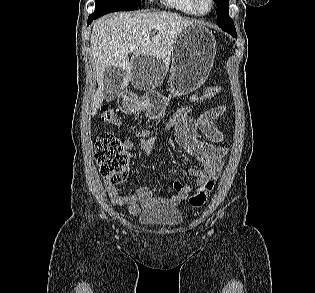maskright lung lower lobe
<instances>
[{"label": "right lung lower lobe", "mask_w": 315, "mask_h": 293, "mask_svg": "<svg viewBox=\"0 0 315 293\" xmlns=\"http://www.w3.org/2000/svg\"><path fill=\"white\" fill-rule=\"evenodd\" d=\"M115 11H120V9L115 8L113 6L110 5H106V6H96L95 7V11L94 13L90 14V16L88 17V24L89 25L93 20L109 13V12H115Z\"/></svg>", "instance_id": "1"}]
</instances>
